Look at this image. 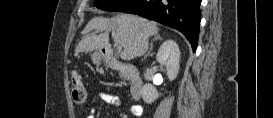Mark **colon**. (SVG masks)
<instances>
[{
	"label": "colon",
	"instance_id": "colon-1",
	"mask_svg": "<svg viewBox=\"0 0 273 118\" xmlns=\"http://www.w3.org/2000/svg\"><path fill=\"white\" fill-rule=\"evenodd\" d=\"M72 98L75 103L82 104L86 100V92L81 77L77 72L71 74Z\"/></svg>",
	"mask_w": 273,
	"mask_h": 118
}]
</instances>
